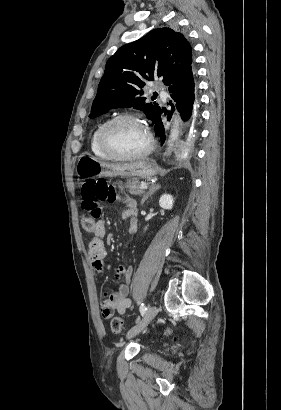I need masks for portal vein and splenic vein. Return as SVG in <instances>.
I'll return each mask as SVG.
<instances>
[{
	"label": "portal vein and splenic vein",
	"instance_id": "1",
	"mask_svg": "<svg viewBox=\"0 0 281 410\" xmlns=\"http://www.w3.org/2000/svg\"><path fill=\"white\" fill-rule=\"evenodd\" d=\"M148 186L145 183L140 184V189H146Z\"/></svg>",
	"mask_w": 281,
	"mask_h": 410
}]
</instances>
